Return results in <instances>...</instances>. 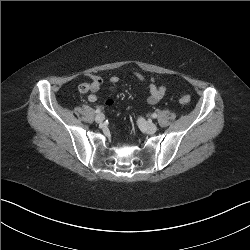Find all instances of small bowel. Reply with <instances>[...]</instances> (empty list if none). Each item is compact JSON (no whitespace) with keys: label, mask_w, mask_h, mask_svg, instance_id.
I'll return each instance as SVG.
<instances>
[{"label":"small bowel","mask_w":250,"mask_h":250,"mask_svg":"<svg viewBox=\"0 0 250 250\" xmlns=\"http://www.w3.org/2000/svg\"><path fill=\"white\" fill-rule=\"evenodd\" d=\"M134 77L142 85L149 89V96L147 101L149 104H157L164 98L166 94V87L162 85H157L154 78H146L140 72H135ZM90 82L83 83L80 86V90L84 93H88V100L90 102H95L97 100L96 92L99 90L100 81L97 78H92ZM119 82V77L114 75L109 78V84L115 85Z\"/></svg>","instance_id":"1"}]
</instances>
